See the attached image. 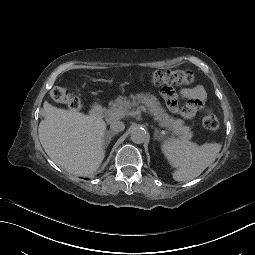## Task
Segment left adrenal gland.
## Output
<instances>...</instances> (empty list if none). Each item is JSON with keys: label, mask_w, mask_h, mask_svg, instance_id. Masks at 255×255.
Segmentation results:
<instances>
[{"label": "left adrenal gland", "mask_w": 255, "mask_h": 255, "mask_svg": "<svg viewBox=\"0 0 255 255\" xmlns=\"http://www.w3.org/2000/svg\"><path fill=\"white\" fill-rule=\"evenodd\" d=\"M159 133H160V130H157V128H156L155 133H154V136H155L156 140H161L162 139L161 137H159Z\"/></svg>", "instance_id": "1"}]
</instances>
